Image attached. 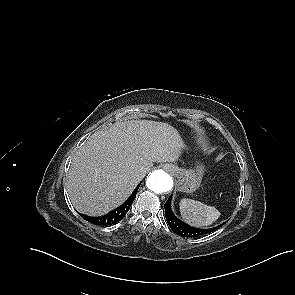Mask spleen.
<instances>
[{
  "instance_id": "obj_1",
  "label": "spleen",
  "mask_w": 295,
  "mask_h": 295,
  "mask_svg": "<svg viewBox=\"0 0 295 295\" xmlns=\"http://www.w3.org/2000/svg\"><path fill=\"white\" fill-rule=\"evenodd\" d=\"M180 213L187 223L195 227L211 225L220 217L215 207L188 198L180 201Z\"/></svg>"
}]
</instances>
